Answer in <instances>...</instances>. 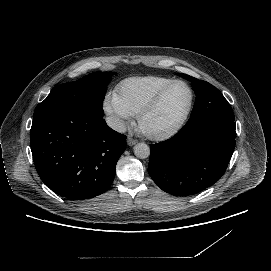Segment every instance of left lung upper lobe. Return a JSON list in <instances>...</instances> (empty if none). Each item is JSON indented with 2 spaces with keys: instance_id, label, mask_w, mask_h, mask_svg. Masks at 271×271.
<instances>
[{
  "instance_id": "obj_1",
  "label": "left lung upper lobe",
  "mask_w": 271,
  "mask_h": 271,
  "mask_svg": "<svg viewBox=\"0 0 271 271\" xmlns=\"http://www.w3.org/2000/svg\"><path fill=\"white\" fill-rule=\"evenodd\" d=\"M178 75L192 83L196 94L195 105L190 119L201 115L234 116L231 106L216 87L186 74Z\"/></svg>"
}]
</instances>
